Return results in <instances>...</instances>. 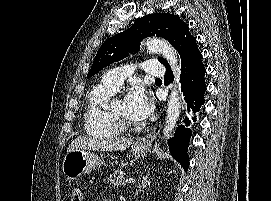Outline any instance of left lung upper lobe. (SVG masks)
Masks as SVG:
<instances>
[{
  "label": "left lung upper lobe",
  "mask_w": 271,
  "mask_h": 201,
  "mask_svg": "<svg viewBox=\"0 0 271 201\" xmlns=\"http://www.w3.org/2000/svg\"><path fill=\"white\" fill-rule=\"evenodd\" d=\"M155 35L168 40L177 51L188 41L194 39L189 32L188 25L183 23L178 16L166 13L146 15L138 19L126 31L103 43L87 77L98 73L113 62L127 57L129 53L137 51L142 39ZM158 60L163 65L167 64V61L162 57H159Z\"/></svg>",
  "instance_id": "obj_1"
}]
</instances>
